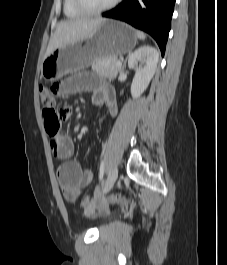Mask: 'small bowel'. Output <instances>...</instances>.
I'll return each mask as SVG.
<instances>
[{"mask_svg": "<svg viewBox=\"0 0 227 265\" xmlns=\"http://www.w3.org/2000/svg\"><path fill=\"white\" fill-rule=\"evenodd\" d=\"M97 72H74V76L64 81H55L62 94L92 92L95 105L105 106L114 116L117 113L115 92L112 87L99 78ZM60 112H72V107H60ZM49 146L52 154L63 163L59 166L57 176L64 198L70 203H76L83 192L94 180V172L83 169L82 166L71 160L74 152V143L71 136L64 132L50 136Z\"/></svg>", "mask_w": 227, "mask_h": 265, "instance_id": "small-bowel-1", "label": "small bowel"}]
</instances>
